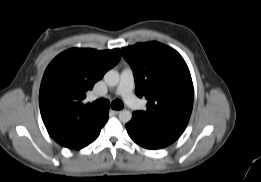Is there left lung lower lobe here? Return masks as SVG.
<instances>
[{
	"label": "left lung lower lobe",
	"instance_id": "left-lung-lower-lobe-1",
	"mask_svg": "<svg viewBox=\"0 0 261 182\" xmlns=\"http://www.w3.org/2000/svg\"><path fill=\"white\" fill-rule=\"evenodd\" d=\"M126 129L132 140L147 149L164 148L180 137L179 134L172 131L143 126L135 117H132V120L126 124Z\"/></svg>",
	"mask_w": 261,
	"mask_h": 182
}]
</instances>
